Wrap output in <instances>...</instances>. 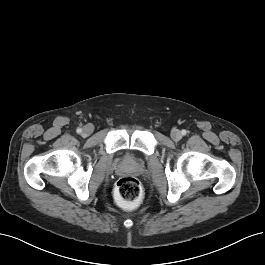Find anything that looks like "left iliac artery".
Returning a JSON list of instances; mask_svg holds the SVG:
<instances>
[{
    "label": "left iliac artery",
    "mask_w": 265,
    "mask_h": 265,
    "mask_svg": "<svg viewBox=\"0 0 265 265\" xmlns=\"http://www.w3.org/2000/svg\"><path fill=\"white\" fill-rule=\"evenodd\" d=\"M186 130H182V135H186Z\"/></svg>",
    "instance_id": "44dca946"
}]
</instances>
